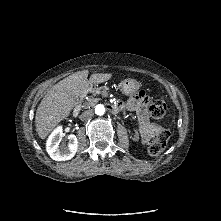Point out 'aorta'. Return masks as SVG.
<instances>
[{"label":"aorta","mask_w":221,"mask_h":221,"mask_svg":"<svg viewBox=\"0 0 221 221\" xmlns=\"http://www.w3.org/2000/svg\"><path fill=\"white\" fill-rule=\"evenodd\" d=\"M95 113L97 114V115H103L104 113H105V107H104V105H102V104H98V105H96V107H95Z\"/></svg>","instance_id":"762f6f07"}]
</instances>
